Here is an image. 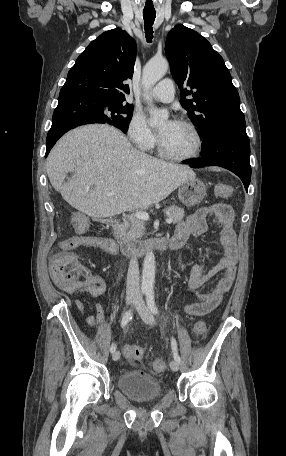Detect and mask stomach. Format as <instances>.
<instances>
[{
    "label": "stomach",
    "mask_w": 286,
    "mask_h": 456,
    "mask_svg": "<svg viewBox=\"0 0 286 456\" xmlns=\"http://www.w3.org/2000/svg\"><path fill=\"white\" fill-rule=\"evenodd\" d=\"M206 195V186L199 179L182 184L178 190L179 200L186 206L198 205Z\"/></svg>",
    "instance_id": "stomach-1"
}]
</instances>
